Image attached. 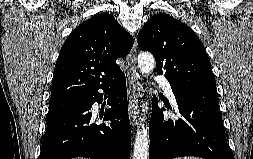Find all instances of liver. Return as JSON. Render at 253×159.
<instances>
[{
	"label": "liver",
	"instance_id": "1",
	"mask_svg": "<svg viewBox=\"0 0 253 159\" xmlns=\"http://www.w3.org/2000/svg\"><path fill=\"white\" fill-rule=\"evenodd\" d=\"M76 159H85V158L80 157V158H76Z\"/></svg>",
	"mask_w": 253,
	"mask_h": 159
}]
</instances>
